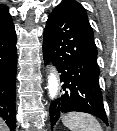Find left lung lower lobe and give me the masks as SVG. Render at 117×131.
Listing matches in <instances>:
<instances>
[{"instance_id": "left-lung-lower-lobe-1", "label": "left lung lower lobe", "mask_w": 117, "mask_h": 131, "mask_svg": "<svg viewBox=\"0 0 117 131\" xmlns=\"http://www.w3.org/2000/svg\"><path fill=\"white\" fill-rule=\"evenodd\" d=\"M44 61L56 66L62 93L50 105L51 126L63 113H90L106 124L97 49L74 7L62 1L50 14L43 38Z\"/></svg>"}]
</instances>
